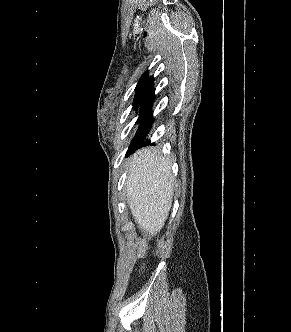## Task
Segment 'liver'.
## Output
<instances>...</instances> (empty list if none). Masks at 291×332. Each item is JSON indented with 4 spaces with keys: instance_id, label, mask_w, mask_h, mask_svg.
<instances>
[{
    "instance_id": "1",
    "label": "liver",
    "mask_w": 291,
    "mask_h": 332,
    "mask_svg": "<svg viewBox=\"0 0 291 332\" xmlns=\"http://www.w3.org/2000/svg\"><path fill=\"white\" fill-rule=\"evenodd\" d=\"M126 197L141 231L149 237L163 228L172 206L171 162L150 148L134 154L128 165Z\"/></svg>"
}]
</instances>
